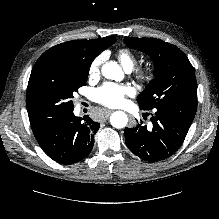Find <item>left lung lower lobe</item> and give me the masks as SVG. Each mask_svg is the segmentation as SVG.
<instances>
[{
    "label": "left lung lower lobe",
    "instance_id": "obj_1",
    "mask_svg": "<svg viewBox=\"0 0 219 219\" xmlns=\"http://www.w3.org/2000/svg\"><path fill=\"white\" fill-rule=\"evenodd\" d=\"M196 110V100L154 109L155 114L151 117L152 127L147 128L141 122L135 128H125L127 147L135 155L149 162L172 156L182 145Z\"/></svg>",
    "mask_w": 219,
    "mask_h": 219
}]
</instances>
